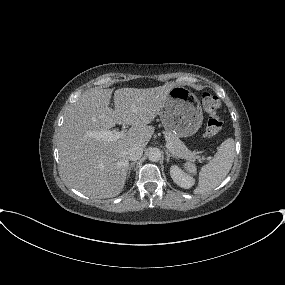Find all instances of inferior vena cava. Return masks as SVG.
Instances as JSON below:
<instances>
[{"mask_svg": "<svg viewBox=\"0 0 285 285\" xmlns=\"http://www.w3.org/2000/svg\"><path fill=\"white\" fill-rule=\"evenodd\" d=\"M142 154H143V148L140 146L131 147L127 151L128 159L132 160V161H136V160L140 159Z\"/></svg>", "mask_w": 285, "mask_h": 285, "instance_id": "inferior-vena-cava-1", "label": "inferior vena cava"}]
</instances>
